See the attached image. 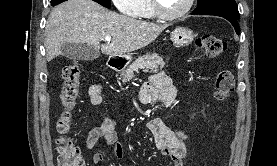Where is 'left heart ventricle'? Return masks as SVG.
<instances>
[{
    "mask_svg": "<svg viewBox=\"0 0 277 166\" xmlns=\"http://www.w3.org/2000/svg\"><path fill=\"white\" fill-rule=\"evenodd\" d=\"M187 0H159L163 10L166 13L173 14L180 11Z\"/></svg>",
    "mask_w": 277,
    "mask_h": 166,
    "instance_id": "obj_1",
    "label": "left heart ventricle"
}]
</instances>
